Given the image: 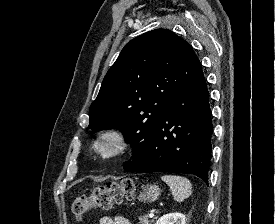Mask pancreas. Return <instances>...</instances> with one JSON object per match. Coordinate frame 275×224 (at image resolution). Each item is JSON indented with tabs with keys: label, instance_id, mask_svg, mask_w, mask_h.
<instances>
[{
	"label": "pancreas",
	"instance_id": "obj_1",
	"mask_svg": "<svg viewBox=\"0 0 275 224\" xmlns=\"http://www.w3.org/2000/svg\"><path fill=\"white\" fill-rule=\"evenodd\" d=\"M152 222H154V219L149 220L147 215L139 217V224H151Z\"/></svg>",
	"mask_w": 275,
	"mask_h": 224
}]
</instances>
